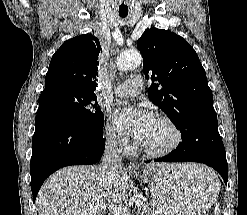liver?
Returning a JSON list of instances; mask_svg holds the SVG:
<instances>
[{"label":"liver","mask_w":247,"mask_h":215,"mask_svg":"<svg viewBox=\"0 0 247 215\" xmlns=\"http://www.w3.org/2000/svg\"><path fill=\"white\" fill-rule=\"evenodd\" d=\"M166 165H145L142 178L146 180L149 174ZM197 166L184 164L183 168L195 173ZM132 187L130 175L121 168L116 178L109 181L100 165L69 166L51 175L42 185L36 199L38 215H104L106 207L124 201Z\"/></svg>","instance_id":"obj_1"}]
</instances>
